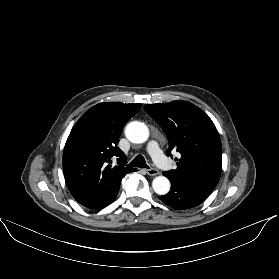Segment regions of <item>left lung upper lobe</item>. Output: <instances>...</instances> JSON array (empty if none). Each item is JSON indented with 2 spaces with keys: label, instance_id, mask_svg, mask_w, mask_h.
Wrapping results in <instances>:
<instances>
[{
  "label": "left lung upper lobe",
  "instance_id": "1",
  "mask_svg": "<svg viewBox=\"0 0 279 279\" xmlns=\"http://www.w3.org/2000/svg\"><path fill=\"white\" fill-rule=\"evenodd\" d=\"M165 132L171 151L180 153L177 168L163 174L179 184L210 195L222 170V147L218 131L208 115L186 101L144 106Z\"/></svg>",
  "mask_w": 279,
  "mask_h": 279
}]
</instances>
